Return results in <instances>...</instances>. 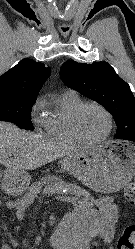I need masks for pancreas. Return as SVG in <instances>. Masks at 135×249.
I'll return each instance as SVG.
<instances>
[{
  "label": "pancreas",
  "mask_w": 135,
  "mask_h": 249,
  "mask_svg": "<svg viewBox=\"0 0 135 249\" xmlns=\"http://www.w3.org/2000/svg\"><path fill=\"white\" fill-rule=\"evenodd\" d=\"M64 188H68L78 196L84 197L85 200L90 199V194L85 189L79 186L65 184L64 182H54L46 186L43 190V195L61 194Z\"/></svg>",
  "instance_id": "pancreas-1"
}]
</instances>
